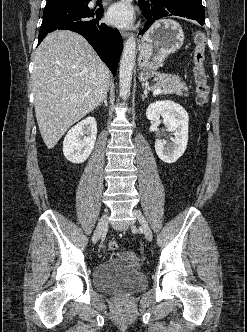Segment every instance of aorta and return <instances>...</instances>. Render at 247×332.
Wrapping results in <instances>:
<instances>
[{"instance_id": "762f6f07", "label": "aorta", "mask_w": 247, "mask_h": 332, "mask_svg": "<svg viewBox=\"0 0 247 332\" xmlns=\"http://www.w3.org/2000/svg\"><path fill=\"white\" fill-rule=\"evenodd\" d=\"M135 57L136 39L134 35H130L124 45L119 68L120 95L124 101L130 93Z\"/></svg>"}]
</instances>
